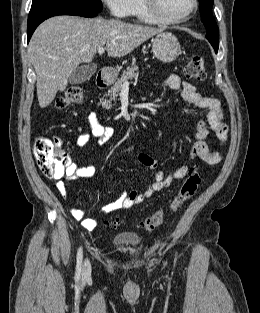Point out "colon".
Segmentation results:
<instances>
[{
    "label": "colon",
    "instance_id": "colon-1",
    "mask_svg": "<svg viewBox=\"0 0 260 313\" xmlns=\"http://www.w3.org/2000/svg\"><path fill=\"white\" fill-rule=\"evenodd\" d=\"M187 78L203 81L207 77L204 61L201 57L190 58L185 66ZM83 89L79 86L70 87L63 96L56 100L57 109H65L69 106L80 103L83 100ZM34 156L40 171L48 178L59 179L64 175L69 165V157L60 148L57 139L48 137H38L34 142ZM201 184V175L197 170H192L182 184L178 194L170 201L168 209L172 212L177 211L185 202L190 200L197 192ZM164 220V211L157 210L152 215L141 222V226L146 230H154L161 225ZM119 219L106 221L107 226H117Z\"/></svg>",
    "mask_w": 260,
    "mask_h": 313
}]
</instances>
